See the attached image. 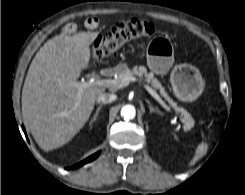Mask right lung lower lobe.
<instances>
[{
    "label": "right lung lower lobe",
    "instance_id": "98d812e1",
    "mask_svg": "<svg viewBox=\"0 0 245 195\" xmlns=\"http://www.w3.org/2000/svg\"><path fill=\"white\" fill-rule=\"evenodd\" d=\"M22 128H23V131H24V133H25V135H26V132H25L24 127H22ZM100 153H101V152L98 151L97 153H95V154H93L92 156L86 158L85 160L81 161L80 163H78V164H76V165H73L71 168L69 167V168H67V169H76V168H78V167H80V166H82V165H84V164H86V163H88V162H91V161H93L94 159H96V158L100 155Z\"/></svg>",
    "mask_w": 245,
    "mask_h": 195
}]
</instances>
